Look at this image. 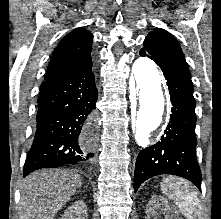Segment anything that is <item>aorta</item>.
<instances>
[{
    "mask_svg": "<svg viewBox=\"0 0 221 219\" xmlns=\"http://www.w3.org/2000/svg\"><path fill=\"white\" fill-rule=\"evenodd\" d=\"M132 82L135 110L133 126L138 145L144 146L150 132L163 120L166 96L162 88L157 65L148 57H139L132 66Z\"/></svg>",
    "mask_w": 221,
    "mask_h": 219,
    "instance_id": "1",
    "label": "aorta"
}]
</instances>
